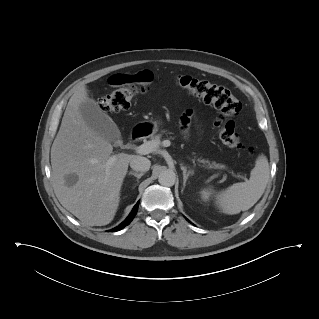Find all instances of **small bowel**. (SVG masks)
<instances>
[{
    "instance_id": "small-bowel-1",
    "label": "small bowel",
    "mask_w": 319,
    "mask_h": 319,
    "mask_svg": "<svg viewBox=\"0 0 319 319\" xmlns=\"http://www.w3.org/2000/svg\"><path fill=\"white\" fill-rule=\"evenodd\" d=\"M139 75L144 78V79H147V80H152V73L148 70H145V71H142L139 73ZM190 118H191V113L190 112H186L182 118H181V122H180V125L182 128H186L189 121H190Z\"/></svg>"
}]
</instances>
